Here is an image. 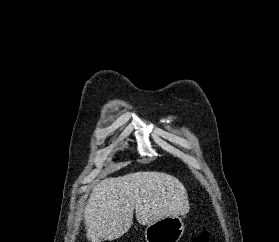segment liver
<instances>
[{
  "mask_svg": "<svg viewBox=\"0 0 279 242\" xmlns=\"http://www.w3.org/2000/svg\"><path fill=\"white\" fill-rule=\"evenodd\" d=\"M141 225L185 215L190 206L184 185L174 176L145 171L103 179L86 204V237L92 242L120 238L131 227L133 213Z\"/></svg>",
  "mask_w": 279,
  "mask_h": 242,
  "instance_id": "liver-1",
  "label": "liver"
}]
</instances>
